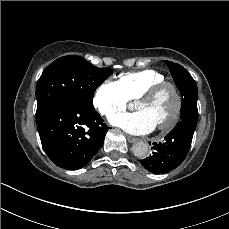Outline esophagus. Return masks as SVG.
<instances>
[{"mask_svg":"<svg viewBox=\"0 0 229 229\" xmlns=\"http://www.w3.org/2000/svg\"><path fill=\"white\" fill-rule=\"evenodd\" d=\"M127 140H128V142H130V143H135V142H137L139 139L136 138V137H134V136L128 135V136H127Z\"/></svg>","mask_w":229,"mask_h":229,"instance_id":"1","label":"esophagus"}]
</instances>
